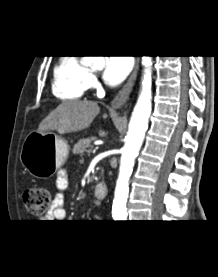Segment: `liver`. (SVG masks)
Segmentation results:
<instances>
[{
	"label": "liver",
	"mask_w": 218,
	"mask_h": 277,
	"mask_svg": "<svg viewBox=\"0 0 218 277\" xmlns=\"http://www.w3.org/2000/svg\"><path fill=\"white\" fill-rule=\"evenodd\" d=\"M99 112L97 102L64 101L39 124L37 131H57L60 134L78 132L88 128ZM99 135L105 136V132L99 130Z\"/></svg>",
	"instance_id": "liver-1"
}]
</instances>
